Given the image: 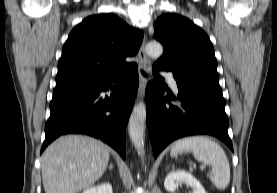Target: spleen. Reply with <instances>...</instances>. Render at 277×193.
<instances>
[{
    "label": "spleen",
    "instance_id": "spleen-1",
    "mask_svg": "<svg viewBox=\"0 0 277 193\" xmlns=\"http://www.w3.org/2000/svg\"><path fill=\"white\" fill-rule=\"evenodd\" d=\"M184 152H191L196 160L211 166L208 177L217 189L227 188L230 182V165L219 144L205 136H190L174 142L170 155L176 157Z\"/></svg>",
    "mask_w": 277,
    "mask_h": 193
}]
</instances>
